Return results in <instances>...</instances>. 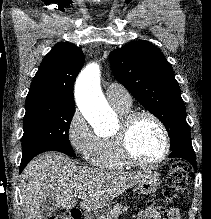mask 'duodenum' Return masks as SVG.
I'll return each instance as SVG.
<instances>
[{"label":"duodenum","instance_id":"obj_1","mask_svg":"<svg viewBox=\"0 0 211 219\" xmlns=\"http://www.w3.org/2000/svg\"><path fill=\"white\" fill-rule=\"evenodd\" d=\"M96 215H97V211L94 209H87L84 212L85 219H95Z\"/></svg>","mask_w":211,"mask_h":219}]
</instances>
